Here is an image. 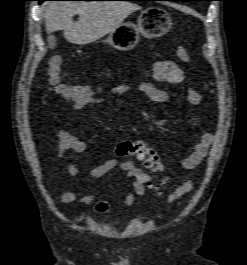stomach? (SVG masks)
Listing matches in <instances>:
<instances>
[{
	"instance_id": "1",
	"label": "stomach",
	"mask_w": 247,
	"mask_h": 265,
	"mask_svg": "<svg viewBox=\"0 0 247 265\" xmlns=\"http://www.w3.org/2000/svg\"><path fill=\"white\" fill-rule=\"evenodd\" d=\"M172 26L169 13L157 6L144 9L139 17L137 25L123 23L117 29L109 33L105 43L119 51H130L139 42L140 35L153 39L166 34Z\"/></svg>"
}]
</instances>
